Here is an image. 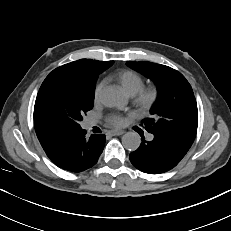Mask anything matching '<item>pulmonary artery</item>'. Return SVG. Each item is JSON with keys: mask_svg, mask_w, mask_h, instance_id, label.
Wrapping results in <instances>:
<instances>
[{"mask_svg": "<svg viewBox=\"0 0 231 231\" xmlns=\"http://www.w3.org/2000/svg\"><path fill=\"white\" fill-rule=\"evenodd\" d=\"M95 121L94 120H92V119H88V120H86L85 122H84V127L85 128H91L92 126H94L95 125ZM152 135H149L148 136V139L149 140H152Z\"/></svg>", "mask_w": 231, "mask_h": 231, "instance_id": "obj_1", "label": "pulmonary artery"}]
</instances>
